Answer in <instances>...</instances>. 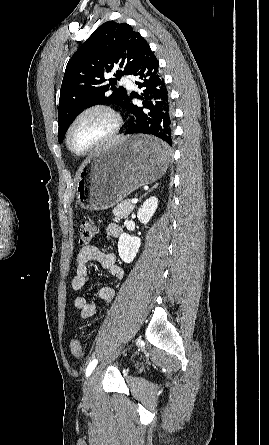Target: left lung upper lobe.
Returning a JSON list of instances; mask_svg holds the SVG:
<instances>
[{"label": "left lung upper lobe", "instance_id": "obj_1", "mask_svg": "<svg viewBox=\"0 0 269 445\" xmlns=\"http://www.w3.org/2000/svg\"><path fill=\"white\" fill-rule=\"evenodd\" d=\"M148 47L126 23L108 21L92 33L66 66L58 108L59 143L84 109L97 104L124 106L128 95L123 87H115L117 80L132 74ZM114 71L107 83L105 75Z\"/></svg>", "mask_w": 269, "mask_h": 445}]
</instances>
